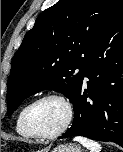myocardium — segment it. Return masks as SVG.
<instances>
[{"instance_id": "f54148a6", "label": "myocardium", "mask_w": 123, "mask_h": 152, "mask_svg": "<svg viewBox=\"0 0 123 152\" xmlns=\"http://www.w3.org/2000/svg\"><path fill=\"white\" fill-rule=\"evenodd\" d=\"M49 99H55V100H58L63 103V105L65 106L66 111H67L66 120H65L64 124L55 132L39 133L31 125V121H30L31 113L37 104H39L42 101L49 100ZM73 118H74V108H73L71 101L65 95H63L61 93L50 92V93L41 95L40 97H38L37 99L32 101L30 104H28V106L25 110V113H24V125H25L26 129L28 130V132L33 137L40 138V139H53V138L59 137L60 135H62L64 132H66L68 130V128L70 127V125L73 121Z\"/></svg>"}]
</instances>
